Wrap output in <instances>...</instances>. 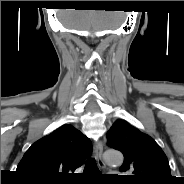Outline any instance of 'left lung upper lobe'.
<instances>
[{"label": "left lung upper lobe", "instance_id": "obj_1", "mask_svg": "<svg viewBox=\"0 0 184 184\" xmlns=\"http://www.w3.org/2000/svg\"><path fill=\"white\" fill-rule=\"evenodd\" d=\"M107 144L123 153L121 176L131 184H171L170 166L166 155L153 138L123 119L114 122L107 133Z\"/></svg>", "mask_w": 184, "mask_h": 184}]
</instances>
